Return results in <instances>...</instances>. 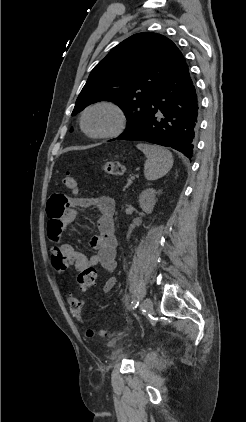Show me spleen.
I'll return each mask as SVG.
<instances>
[{"label":"spleen","instance_id":"obj_1","mask_svg":"<svg viewBox=\"0 0 246 422\" xmlns=\"http://www.w3.org/2000/svg\"><path fill=\"white\" fill-rule=\"evenodd\" d=\"M137 148L147 157L144 165V175L147 180H157L172 168L173 156L165 147L139 143Z\"/></svg>","mask_w":246,"mask_h":422}]
</instances>
